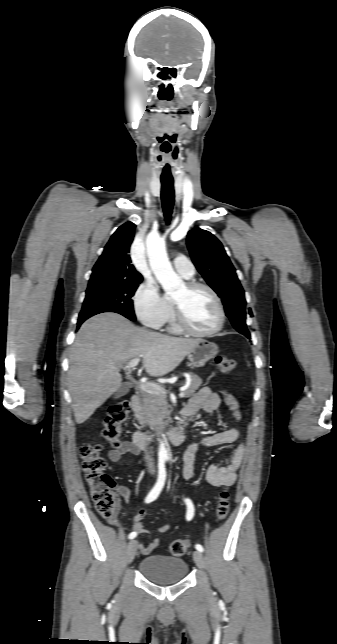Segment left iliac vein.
<instances>
[{
  "instance_id": "4c4485c4",
  "label": "left iliac vein",
  "mask_w": 337,
  "mask_h": 644,
  "mask_svg": "<svg viewBox=\"0 0 337 644\" xmlns=\"http://www.w3.org/2000/svg\"><path fill=\"white\" fill-rule=\"evenodd\" d=\"M193 559H194V562L196 563V565L200 569L205 568V559H204L203 554L200 551L197 550V551L193 552Z\"/></svg>"
}]
</instances>
